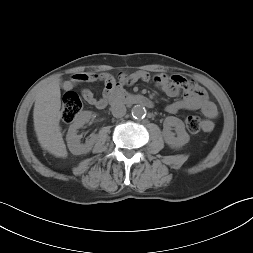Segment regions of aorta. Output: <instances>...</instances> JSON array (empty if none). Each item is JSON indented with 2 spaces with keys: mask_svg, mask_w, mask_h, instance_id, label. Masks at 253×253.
Here are the masks:
<instances>
[{
  "mask_svg": "<svg viewBox=\"0 0 253 253\" xmlns=\"http://www.w3.org/2000/svg\"><path fill=\"white\" fill-rule=\"evenodd\" d=\"M131 112L134 118H142L146 114V109L142 105H135L133 106Z\"/></svg>",
  "mask_w": 253,
  "mask_h": 253,
  "instance_id": "aorta-1",
  "label": "aorta"
}]
</instances>
